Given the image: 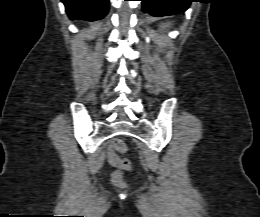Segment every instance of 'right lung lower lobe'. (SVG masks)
I'll return each mask as SVG.
<instances>
[{
    "label": "right lung lower lobe",
    "instance_id": "right-lung-lower-lobe-1",
    "mask_svg": "<svg viewBox=\"0 0 260 217\" xmlns=\"http://www.w3.org/2000/svg\"><path fill=\"white\" fill-rule=\"evenodd\" d=\"M72 20L95 21L104 18L109 9V0H61Z\"/></svg>",
    "mask_w": 260,
    "mask_h": 217
}]
</instances>
